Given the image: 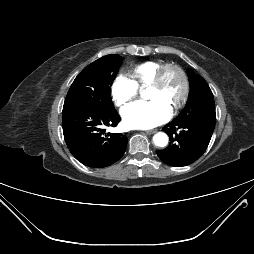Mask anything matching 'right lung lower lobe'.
I'll return each mask as SVG.
<instances>
[{
    "instance_id": "right-lung-lower-lobe-1",
    "label": "right lung lower lobe",
    "mask_w": 254,
    "mask_h": 254,
    "mask_svg": "<svg viewBox=\"0 0 254 254\" xmlns=\"http://www.w3.org/2000/svg\"><path fill=\"white\" fill-rule=\"evenodd\" d=\"M120 121L114 110H96L64 102L62 126L65 142L73 156L88 167H107L124 154L128 139L120 133H106Z\"/></svg>"
}]
</instances>
